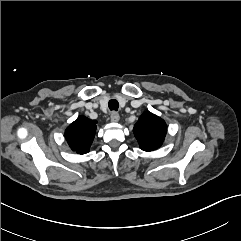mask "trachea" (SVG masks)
<instances>
[{"mask_svg": "<svg viewBox=\"0 0 241 241\" xmlns=\"http://www.w3.org/2000/svg\"><path fill=\"white\" fill-rule=\"evenodd\" d=\"M108 106L111 111H117L119 108V103L117 100L111 99L108 103Z\"/></svg>", "mask_w": 241, "mask_h": 241, "instance_id": "obj_1", "label": "trachea"}]
</instances>
